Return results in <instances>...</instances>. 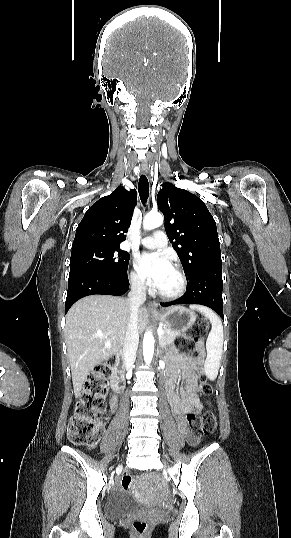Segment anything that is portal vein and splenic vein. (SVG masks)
<instances>
[{"instance_id":"1","label":"portal vein and splenic vein","mask_w":291,"mask_h":538,"mask_svg":"<svg viewBox=\"0 0 291 538\" xmlns=\"http://www.w3.org/2000/svg\"><path fill=\"white\" fill-rule=\"evenodd\" d=\"M157 333L159 336H161L163 334V329L161 327L158 328Z\"/></svg>"}]
</instances>
